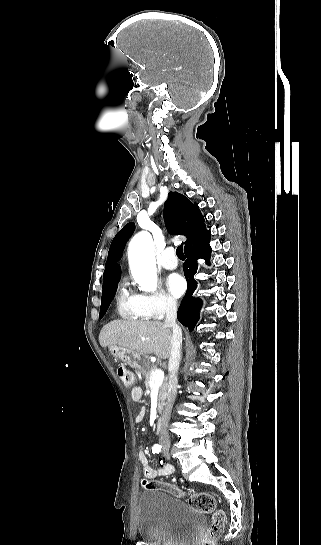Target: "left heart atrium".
<instances>
[{"instance_id": "left-heart-atrium-1", "label": "left heart atrium", "mask_w": 321, "mask_h": 545, "mask_svg": "<svg viewBox=\"0 0 321 545\" xmlns=\"http://www.w3.org/2000/svg\"><path fill=\"white\" fill-rule=\"evenodd\" d=\"M167 292L174 296H180L186 288L185 280L177 273L169 274L165 280Z\"/></svg>"}]
</instances>
